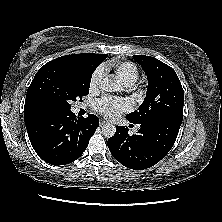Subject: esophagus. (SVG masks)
Here are the masks:
<instances>
[{
  "instance_id": "1",
  "label": "esophagus",
  "mask_w": 222,
  "mask_h": 222,
  "mask_svg": "<svg viewBox=\"0 0 222 222\" xmlns=\"http://www.w3.org/2000/svg\"><path fill=\"white\" fill-rule=\"evenodd\" d=\"M106 123H107V121H105V120L100 121V125H105Z\"/></svg>"
}]
</instances>
